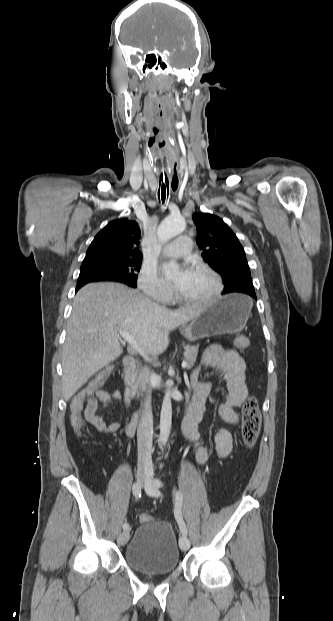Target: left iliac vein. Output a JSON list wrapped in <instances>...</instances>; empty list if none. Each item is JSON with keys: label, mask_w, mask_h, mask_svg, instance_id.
Segmentation results:
<instances>
[{"label": "left iliac vein", "mask_w": 333, "mask_h": 621, "mask_svg": "<svg viewBox=\"0 0 333 621\" xmlns=\"http://www.w3.org/2000/svg\"><path fill=\"white\" fill-rule=\"evenodd\" d=\"M145 483L147 485L146 491L150 496H156V497L159 496L160 493L157 487L153 485V473L152 472H148ZM179 546L182 551H187L190 548V541L185 535H182L180 537Z\"/></svg>", "instance_id": "4c4485c4"}]
</instances>
